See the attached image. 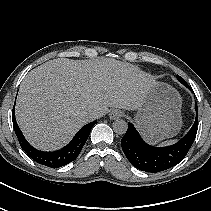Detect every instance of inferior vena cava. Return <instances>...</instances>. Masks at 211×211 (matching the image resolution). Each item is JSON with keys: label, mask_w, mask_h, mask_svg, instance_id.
Wrapping results in <instances>:
<instances>
[{"label": "inferior vena cava", "mask_w": 211, "mask_h": 211, "mask_svg": "<svg viewBox=\"0 0 211 211\" xmlns=\"http://www.w3.org/2000/svg\"><path fill=\"white\" fill-rule=\"evenodd\" d=\"M100 116H101L100 112H97V111H93L90 113V117L93 120L99 118Z\"/></svg>", "instance_id": "obj_1"}]
</instances>
